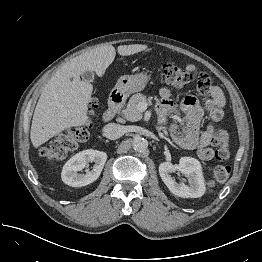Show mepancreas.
<instances>
[{"instance_id":"pancreas-1","label":"pancreas","mask_w":262,"mask_h":262,"mask_svg":"<svg viewBox=\"0 0 262 262\" xmlns=\"http://www.w3.org/2000/svg\"><path fill=\"white\" fill-rule=\"evenodd\" d=\"M146 101V95L141 93L134 94L130 98L127 107L121 111L122 116L132 122L140 120L142 118V112L138 105ZM163 122H165V119H163Z\"/></svg>"}]
</instances>
